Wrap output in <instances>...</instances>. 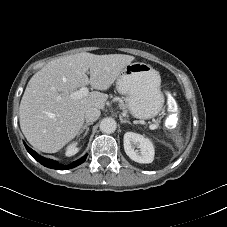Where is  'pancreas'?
Segmentation results:
<instances>
[{"mask_svg":"<svg viewBox=\"0 0 227 227\" xmlns=\"http://www.w3.org/2000/svg\"><path fill=\"white\" fill-rule=\"evenodd\" d=\"M120 108L123 109V110L125 111L126 106L121 102V103H120Z\"/></svg>","mask_w":227,"mask_h":227,"instance_id":"cf45deb5","label":"pancreas"}]
</instances>
